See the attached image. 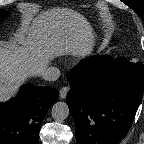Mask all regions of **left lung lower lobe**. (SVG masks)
I'll list each match as a JSON object with an SVG mask.
<instances>
[{"mask_svg": "<svg viewBox=\"0 0 144 144\" xmlns=\"http://www.w3.org/2000/svg\"><path fill=\"white\" fill-rule=\"evenodd\" d=\"M68 79L76 144L120 143L143 97V64L96 55L75 66Z\"/></svg>", "mask_w": 144, "mask_h": 144, "instance_id": "left-lung-lower-lobe-1", "label": "left lung lower lobe"}]
</instances>
